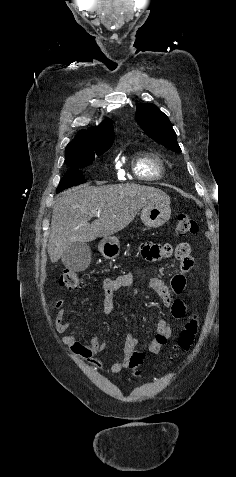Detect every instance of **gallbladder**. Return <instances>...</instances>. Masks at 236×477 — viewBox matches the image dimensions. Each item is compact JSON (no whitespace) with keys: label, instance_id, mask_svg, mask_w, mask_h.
I'll list each match as a JSON object with an SVG mask.
<instances>
[{"label":"gallbladder","instance_id":"bac80fb5","mask_svg":"<svg viewBox=\"0 0 236 477\" xmlns=\"http://www.w3.org/2000/svg\"><path fill=\"white\" fill-rule=\"evenodd\" d=\"M62 262L65 267L74 272L84 271L91 261V250L87 243L74 242L64 251Z\"/></svg>","mask_w":236,"mask_h":477}]
</instances>
